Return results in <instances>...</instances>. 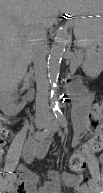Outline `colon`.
<instances>
[{
	"label": "colon",
	"instance_id": "5ec220e1",
	"mask_svg": "<svg viewBox=\"0 0 103 193\" xmlns=\"http://www.w3.org/2000/svg\"><path fill=\"white\" fill-rule=\"evenodd\" d=\"M102 117H103V105L97 103L93 109V112L89 116V132L92 134L88 148L91 151L98 152L101 150L103 145V128H102ZM9 129L2 127L1 136L2 139L8 138ZM3 143V140L1 141ZM70 168L73 171H82L86 168V152L77 151L70 159ZM17 193V192H16Z\"/></svg>",
	"mask_w": 103,
	"mask_h": 193
}]
</instances>
